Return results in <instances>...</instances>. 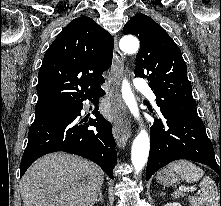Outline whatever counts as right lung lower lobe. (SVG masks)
I'll use <instances>...</instances> for the list:
<instances>
[{"label":"right lung lower lobe","instance_id":"obj_1","mask_svg":"<svg viewBox=\"0 0 221 206\" xmlns=\"http://www.w3.org/2000/svg\"><path fill=\"white\" fill-rule=\"evenodd\" d=\"M97 94L104 95L105 92L99 88L93 94L73 104L68 110L35 118L21 160L20 177L36 159L56 151L73 153L90 159L107 175L113 177L112 169L117 157L111 123L98 112V107L93 111L96 119L91 118L87 123L88 119L80 120L78 117L83 108L82 101L86 99L93 101L92 98ZM89 126H95L96 130L87 129Z\"/></svg>","mask_w":221,"mask_h":206}]
</instances>
